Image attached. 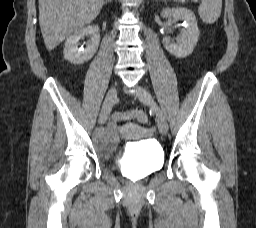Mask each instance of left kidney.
I'll use <instances>...</instances> for the list:
<instances>
[{
  "label": "left kidney",
  "instance_id": "left-kidney-1",
  "mask_svg": "<svg viewBox=\"0 0 256 228\" xmlns=\"http://www.w3.org/2000/svg\"><path fill=\"white\" fill-rule=\"evenodd\" d=\"M162 17H173L184 21L185 29L183 30V36L173 43L165 37L163 39V45L166 50L177 58H185L189 56L198 41L199 29L194 13L186 8H166L161 13Z\"/></svg>",
  "mask_w": 256,
  "mask_h": 228
}]
</instances>
